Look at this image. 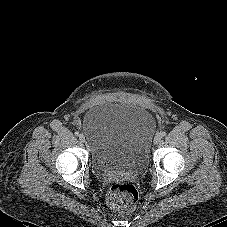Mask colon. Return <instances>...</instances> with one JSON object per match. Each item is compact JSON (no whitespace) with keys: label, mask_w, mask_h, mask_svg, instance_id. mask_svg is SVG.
Wrapping results in <instances>:
<instances>
[{"label":"colon","mask_w":227,"mask_h":227,"mask_svg":"<svg viewBox=\"0 0 227 227\" xmlns=\"http://www.w3.org/2000/svg\"><path fill=\"white\" fill-rule=\"evenodd\" d=\"M138 200V190L128 182H115L109 187L107 203L119 214L133 212Z\"/></svg>","instance_id":"1"}]
</instances>
